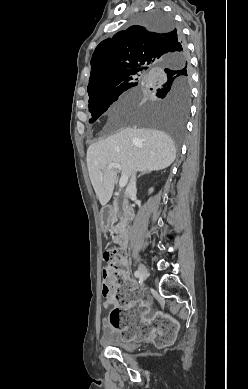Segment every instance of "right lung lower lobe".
<instances>
[{"label": "right lung lower lobe", "mask_w": 248, "mask_h": 389, "mask_svg": "<svg viewBox=\"0 0 248 389\" xmlns=\"http://www.w3.org/2000/svg\"><path fill=\"white\" fill-rule=\"evenodd\" d=\"M182 43H183V39H182V35L180 34V35H179L178 46L180 47V45H182ZM179 47H178V48H179ZM178 48H177L176 50H178Z\"/></svg>", "instance_id": "obj_1"}]
</instances>
